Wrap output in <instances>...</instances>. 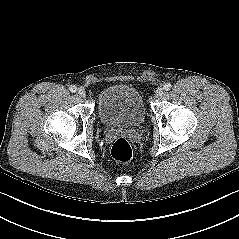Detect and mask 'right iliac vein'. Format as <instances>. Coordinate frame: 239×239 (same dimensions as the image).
I'll list each match as a JSON object with an SVG mask.
<instances>
[{"label": "right iliac vein", "mask_w": 239, "mask_h": 239, "mask_svg": "<svg viewBox=\"0 0 239 239\" xmlns=\"http://www.w3.org/2000/svg\"><path fill=\"white\" fill-rule=\"evenodd\" d=\"M77 93H78V95H79L80 97H83V98H84V97L86 96V91H85V89L82 88V87L78 88Z\"/></svg>", "instance_id": "obj_1"}]
</instances>
